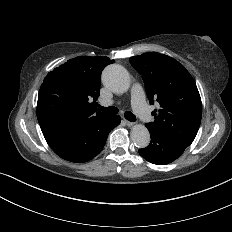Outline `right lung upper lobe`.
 Segmentation results:
<instances>
[{
	"instance_id": "1",
	"label": "right lung upper lobe",
	"mask_w": 232,
	"mask_h": 232,
	"mask_svg": "<svg viewBox=\"0 0 232 232\" xmlns=\"http://www.w3.org/2000/svg\"><path fill=\"white\" fill-rule=\"evenodd\" d=\"M112 63L114 60L108 57L81 56L50 72L38 95L40 126L77 123L106 116L98 111L96 99L100 92L101 72Z\"/></svg>"
}]
</instances>
